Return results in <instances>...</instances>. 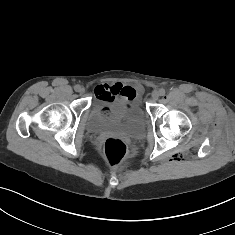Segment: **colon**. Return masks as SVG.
<instances>
[{
  "instance_id": "colon-1",
  "label": "colon",
  "mask_w": 235,
  "mask_h": 235,
  "mask_svg": "<svg viewBox=\"0 0 235 235\" xmlns=\"http://www.w3.org/2000/svg\"><path fill=\"white\" fill-rule=\"evenodd\" d=\"M103 148L106 160L112 167L123 164L128 157L127 146L120 138L110 137L106 139Z\"/></svg>"
}]
</instances>
